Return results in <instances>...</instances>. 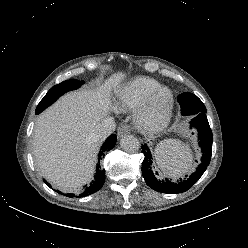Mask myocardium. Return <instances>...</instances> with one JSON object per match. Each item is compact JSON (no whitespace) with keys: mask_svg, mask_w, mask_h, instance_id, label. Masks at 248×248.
Returning a JSON list of instances; mask_svg holds the SVG:
<instances>
[{"mask_svg":"<svg viewBox=\"0 0 248 248\" xmlns=\"http://www.w3.org/2000/svg\"><path fill=\"white\" fill-rule=\"evenodd\" d=\"M165 94L167 101L162 112L158 116H153L152 111L158 98ZM175 105V97L173 91L168 87H160L151 93L135 111V120L139 127L147 131H158L166 127L172 117Z\"/></svg>","mask_w":248,"mask_h":248,"instance_id":"f54148a6","label":"myocardium"}]
</instances>
